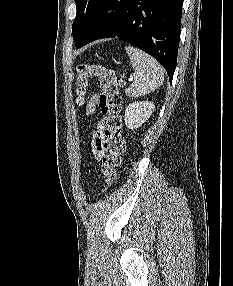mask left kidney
I'll return each mask as SVG.
<instances>
[{
    "mask_svg": "<svg viewBox=\"0 0 233 286\" xmlns=\"http://www.w3.org/2000/svg\"><path fill=\"white\" fill-rule=\"evenodd\" d=\"M154 108V104L149 101H135L129 104L125 109L124 118L127 128L133 130L142 126L150 118Z\"/></svg>",
    "mask_w": 233,
    "mask_h": 286,
    "instance_id": "5707ae66",
    "label": "left kidney"
}]
</instances>
